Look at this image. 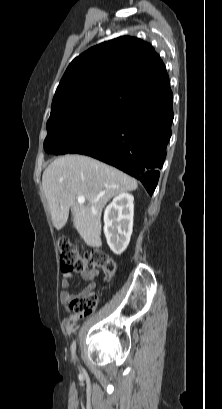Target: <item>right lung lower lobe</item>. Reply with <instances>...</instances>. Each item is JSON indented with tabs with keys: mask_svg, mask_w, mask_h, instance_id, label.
I'll use <instances>...</instances> for the list:
<instances>
[{
	"mask_svg": "<svg viewBox=\"0 0 222 409\" xmlns=\"http://www.w3.org/2000/svg\"><path fill=\"white\" fill-rule=\"evenodd\" d=\"M172 98L170 89L163 95L119 104L103 143L87 155L137 178L152 195L171 137Z\"/></svg>",
	"mask_w": 222,
	"mask_h": 409,
	"instance_id": "right-lung-lower-lobe-1",
	"label": "right lung lower lobe"
}]
</instances>
